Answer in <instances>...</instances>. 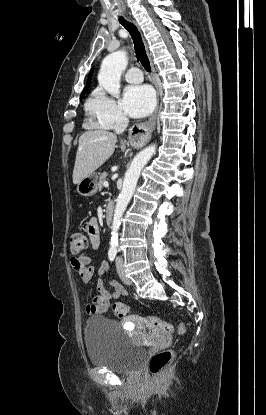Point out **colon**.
Segmentation results:
<instances>
[{
  "instance_id": "5ec220e1",
  "label": "colon",
  "mask_w": 266,
  "mask_h": 415,
  "mask_svg": "<svg viewBox=\"0 0 266 415\" xmlns=\"http://www.w3.org/2000/svg\"><path fill=\"white\" fill-rule=\"evenodd\" d=\"M69 244L71 252L73 254H78L87 247L88 241L82 232L75 231L71 233L69 237ZM112 312L116 317L121 318L127 315L129 312V307L124 303L117 302L112 305ZM147 321L152 328L160 333L168 334L173 330V327L170 323L160 319L159 317L149 316ZM179 333H185L184 325H180ZM172 358L173 352L170 349H164L156 352L149 361L150 372L155 376L162 374L172 361Z\"/></svg>"
}]
</instances>
